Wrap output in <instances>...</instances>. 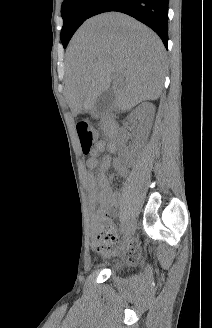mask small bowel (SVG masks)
Wrapping results in <instances>:
<instances>
[{
    "label": "small bowel",
    "instance_id": "c3829d8e",
    "mask_svg": "<svg viewBox=\"0 0 212 328\" xmlns=\"http://www.w3.org/2000/svg\"><path fill=\"white\" fill-rule=\"evenodd\" d=\"M107 144L105 141H100L97 144L95 155L98 152H102L106 149ZM87 166L91 169H95L94 175H89V195L93 204L98 205V209L93 215L94 225L99 226L102 221L108 218V216L114 214L120 204V195L112 187L110 179L106 175V171L113 166L118 176H125L127 174V168L118 160L112 159L110 156H105L99 163L95 156L87 160ZM96 245V242H94ZM138 245L135 242H130L127 248V253L131 258L138 256Z\"/></svg>",
    "mask_w": 212,
    "mask_h": 328
}]
</instances>
